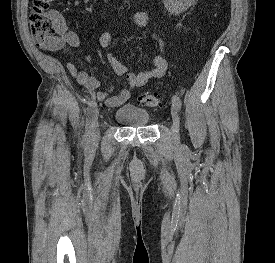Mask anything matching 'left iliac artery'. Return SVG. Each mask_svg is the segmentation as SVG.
<instances>
[{
	"instance_id": "obj_1",
	"label": "left iliac artery",
	"mask_w": 275,
	"mask_h": 263,
	"mask_svg": "<svg viewBox=\"0 0 275 263\" xmlns=\"http://www.w3.org/2000/svg\"><path fill=\"white\" fill-rule=\"evenodd\" d=\"M172 104H173V106H174L176 109L180 110V109H181V105H182V102H181L180 97L177 96V95H174V96L172 97Z\"/></svg>"
}]
</instances>
